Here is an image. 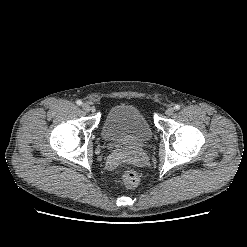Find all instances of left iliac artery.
<instances>
[{
	"label": "left iliac artery",
	"mask_w": 247,
	"mask_h": 247,
	"mask_svg": "<svg viewBox=\"0 0 247 247\" xmlns=\"http://www.w3.org/2000/svg\"><path fill=\"white\" fill-rule=\"evenodd\" d=\"M174 109L179 110L180 109V105H178V104L175 105Z\"/></svg>",
	"instance_id": "obj_1"
}]
</instances>
